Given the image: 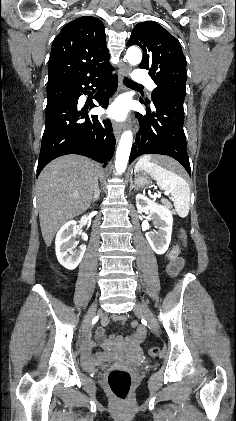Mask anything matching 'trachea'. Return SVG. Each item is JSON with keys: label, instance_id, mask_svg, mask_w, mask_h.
<instances>
[{"label": "trachea", "instance_id": "trachea-1", "mask_svg": "<svg viewBox=\"0 0 236 421\" xmlns=\"http://www.w3.org/2000/svg\"><path fill=\"white\" fill-rule=\"evenodd\" d=\"M123 83L126 85V87H141L139 83L133 82V80H130V78L124 77Z\"/></svg>", "mask_w": 236, "mask_h": 421}]
</instances>
